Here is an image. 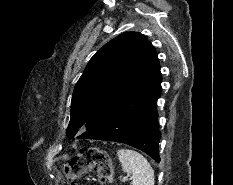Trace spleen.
Segmentation results:
<instances>
[{"label": "spleen", "mask_w": 233, "mask_h": 185, "mask_svg": "<svg viewBox=\"0 0 233 185\" xmlns=\"http://www.w3.org/2000/svg\"><path fill=\"white\" fill-rule=\"evenodd\" d=\"M122 169L131 174V185H154V170L147 159L130 149L117 152Z\"/></svg>", "instance_id": "spleen-1"}]
</instances>
